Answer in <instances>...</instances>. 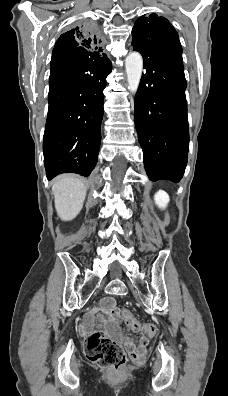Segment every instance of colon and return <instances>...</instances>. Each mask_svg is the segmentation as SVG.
Instances as JSON below:
<instances>
[{"mask_svg": "<svg viewBox=\"0 0 228 396\" xmlns=\"http://www.w3.org/2000/svg\"><path fill=\"white\" fill-rule=\"evenodd\" d=\"M121 317L132 330L141 332L147 337H152L156 333L154 324L140 323L127 309L121 311ZM85 351L91 362L112 371L120 370L126 362L122 346L102 331H95L86 339Z\"/></svg>", "mask_w": 228, "mask_h": 396, "instance_id": "obj_1", "label": "colon"}]
</instances>
